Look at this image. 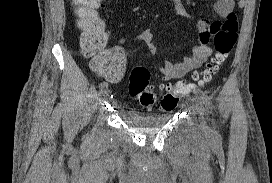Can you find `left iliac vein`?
<instances>
[{"instance_id":"1","label":"left iliac vein","mask_w":272,"mask_h":183,"mask_svg":"<svg viewBox=\"0 0 272 183\" xmlns=\"http://www.w3.org/2000/svg\"><path fill=\"white\" fill-rule=\"evenodd\" d=\"M195 108H196V111L199 115V118H200V127L203 131L207 132L209 130L208 128V125L205 121V111H204V108H203V104H202V101L200 99H197L195 101Z\"/></svg>"}]
</instances>
